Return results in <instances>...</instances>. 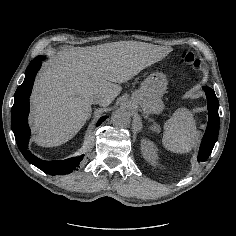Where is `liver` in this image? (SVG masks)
I'll list each match as a JSON object with an SVG mask.
<instances>
[{
    "mask_svg": "<svg viewBox=\"0 0 236 236\" xmlns=\"http://www.w3.org/2000/svg\"><path fill=\"white\" fill-rule=\"evenodd\" d=\"M171 48L121 41L58 51L48 59L30 98L32 141L54 147L72 139L89 119L95 99L108 106L127 82L145 68L147 57L160 60Z\"/></svg>",
    "mask_w": 236,
    "mask_h": 236,
    "instance_id": "obj_1",
    "label": "liver"
}]
</instances>
